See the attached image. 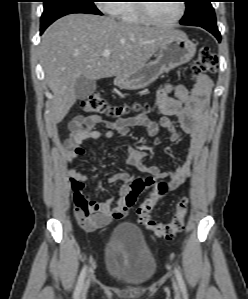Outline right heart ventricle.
Masks as SVG:
<instances>
[{
  "label": "right heart ventricle",
  "instance_id": "e07e8e85",
  "mask_svg": "<svg viewBox=\"0 0 248 299\" xmlns=\"http://www.w3.org/2000/svg\"><path fill=\"white\" fill-rule=\"evenodd\" d=\"M135 1L124 0L113 5V14L121 22L129 25H145L148 22L143 18L138 10Z\"/></svg>",
  "mask_w": 248,
  "mask_h": 299
}]
</instances>
